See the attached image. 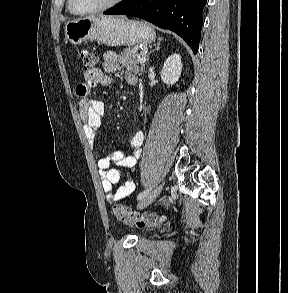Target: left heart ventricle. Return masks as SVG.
I'll use <instances>...</instances> for the list:
<instances>
[{"instance_id":"1","label":"left heart ventricle","mask_w":288,"mask_h":293,"mask_svg":"<svg viewBox=\"0 0 288 293\" xmlns=\"http://www.w3.org/2000/svg\"><path fill=\"white\" fill-rule=\"evenodd\" d=\"M111 0H74L76 7L82 10L93 9L102 6Z\"/></svg>"}]
</instances>
